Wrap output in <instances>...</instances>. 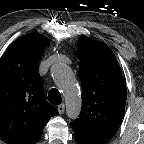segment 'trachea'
Listing matches in <instances>:
<instances>
[{
	"mask_svg": "<svg viewBox=\"0 0 144 144\" xmlns=\"http://www.w3.org/2000/svg\"><path fill=\"white\" fill-rule=\"evenodd\" d=\"M48 100L53 105H59L62 101L60 92L56 88H52L48 93Z\"/></svg>",
	"mask_w": 144,
	"mask_h": 144,
	"instance_id": "3493384b",
	"label": "trachea"
}]
</instances>
